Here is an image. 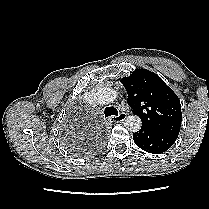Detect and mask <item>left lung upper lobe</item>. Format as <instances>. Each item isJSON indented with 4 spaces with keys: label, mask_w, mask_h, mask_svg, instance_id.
Returning a JSON list of instances; mask_svg holds the SVG:
<instances>
[{
    "label": "left lung upper lobe",
    "mask_w": 209,
    "mask_h": 209,
    "mask_svg": "<svg viewBox=\"0 0 209 209\" xmlns=\"http://www.w3.org/2000/svg\"><path fill=\"white\" fill-rule=\"evenodd\" d=\"M120 82L128 94V104L142 120V126L178 137L182 113L180 100L154 72L137 69Z\"/></svg>",
    "instance_id": "left-lung-upper-lobe-1"
}]
</instances>
